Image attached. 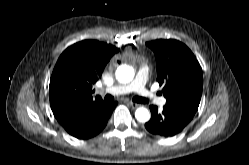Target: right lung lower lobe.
I'll return each mask as SVG.
<instances>
[{"label": "right lung lower lobe", "mask_w": 249, "mask_h": 165, "mask_svg": "<svg viewBox=\"0 0 249 165\" xmlns=\"http://www.w3.org/2000/svg\"><path fill=\"white\" fill-rule=\"evenodd\" d=\"M116 105L117 102H102L63 125V128L78 139L91 138L104 129Z\"/></svg>", "instance_id": "1"}]
</instances>
